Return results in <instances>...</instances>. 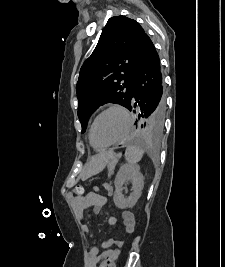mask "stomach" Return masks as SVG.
Instances as JSON below:
<instances>
[{
  "mask_svg": "<svg viewBox=\"0 0 225 267\" xmlns=\"http://www.w3.org/2000/svg\"><path fill=\"white\" fill-rule=\"evenodd\" d=\"M115 157L111 153H102L94 157L88 165V175H94L102 171Z\"/></svg>",
  "mask_w": 225,
  "mask_h": 267,
  "instance_id": "obj_1",
  "label": "stomach"
}]
</instances>
